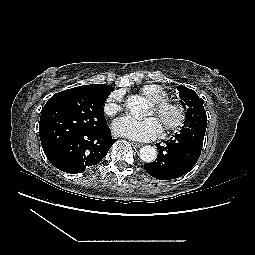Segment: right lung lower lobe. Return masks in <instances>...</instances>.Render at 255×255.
<instances>
[{
	"instance_id": "98d812e1",
	"label": "right lung lower lobe",
	"mask_w": 255,
	"mask_h": 255,
	"mask_svg": "<svg viewBox=\"0 0 255 255\" xmlns=\"http://www.w3.org/2000/svg\"><path fill=\"white\" fill-rule=\"evenodd\" d=\"M116 139L105 124L100 130L87 132L68 139L48 160L59 170L67 173H81L99 163Z\"/></svg>"
}]
</instances>
